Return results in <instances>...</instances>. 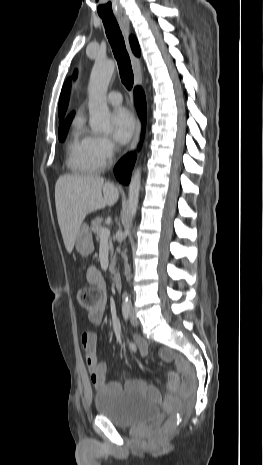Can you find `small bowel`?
Here are the masks:
<instances>
[{
    "label": "small bowel",
    "instance_id": "small-bowel-1",
    "mask_svg": "<svg viewBox=\"0 0 263 465\" xmlns=\"http://www.w3.org/2000/svg\"><path fill=\"white\" fill-rule=\"evenodd\" d=\"M87 281L96 285L101 290L105 289V280L103 278L102 272L95 266H90L86 271ZM106 309V300L102 298L95 309L88 312V319L93 329L84 331L81 334L80 340L81 344L85 350V361L89 370L90 380L93 386L98 389H105L107 387H112L115 389H120L121 384L117 381L108 382L107 381V366L104 362H101L97 359L96 348H97V335L94 329L98 328L103 321L104 314ZM134 345L139 349L140 355L145 357L148 352V347L146 341L139 337H134ZM161 358L165 362L174 361V356L168 351H163L161 353ZM176 368L178 372H183V366L175 361ZM172 390L167 394L165 401L169 400L174 403L178 401V383H177V374L172 372ZM127 387L131 388H140L146 390L153 397L160 400L161 395L154 386L147 385L141 380H132L126 383Z\"/></svg>",
    "mask_w": 263,
    "mask_h": 465
}]
</instances>
